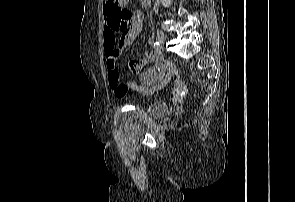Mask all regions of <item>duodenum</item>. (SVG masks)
<instances>
[{"instance_id": "410a0bca", "label": "duodenum", "mask_w": 295, "mask_h": 202, "mask_svg": "<svg viewBox=\"0 0 295 202\" xmlns=\"http://www.w3.org/2000/svg\"><path fill=\"white\" fill-rule=\"evenodd\" d=\"M141 2L145 5L149 2V0H141Z\"/></svg>"}]
</instances>
